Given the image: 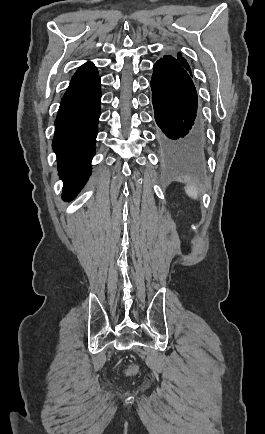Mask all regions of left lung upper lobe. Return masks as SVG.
Here are the masks:
<instances>
[{
  "label": "left lung upper lobe",
  "instance_id": "left-lung-upper-lobe-1",
  "mask_svg": "<svg viewBox=\"0 0 265 434\" xmlns=\"http://www.w3.org/2000/svg\"><path fill=\"white\" fill-rule=\"evenodd\" d=\"M181 64H182V66L186 69V70H188L190 73H191V69H190V66H189V64L187 63V61L182 57V54L181 53H177V55L176 56H174ZM192 74V73H191Z\"/></svg>",
  "mask_w": 265,
  "mask_h": 434
}]
</instances>
